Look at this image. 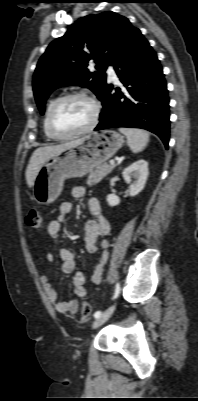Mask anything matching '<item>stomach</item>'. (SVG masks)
Returning a JSON list of instances; mask_svg holds the SVG:
<instances>
[{"instance_id":"stomach-1","label":"stomach","mask_w":198,"mask_h":401,"mask_svg":"<svg viewBox=\"0 0 198 401\" xmlns=\"http://www.w3.org/2000/svg\"><path fill=\"white\" fill-rule=\"evenodd\" d=\"M123 143V136L111 129L79 139L43 164L35 178L34 199L40 205L54 202L66 179L85 176L110 159Z\"/></svg>"}]
</instances>
